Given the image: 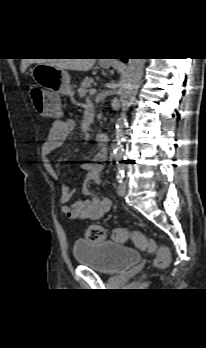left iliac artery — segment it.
<instances>
[{"label": "left iliac artery", "instance_id": "44dca946", "mask_svg": "<svg viewBox=\"0 0 206 348\" xmlns=\"http://www.w3.org/2000/svg\"><path fill=\"white\" fill-rule=\"evenodd\" d=\"M125 174H124V170L122 168H119L117 173H116V178L118 180L119 183L122 182L123 178H124Z\"/></svg>", "mask_w": 206, "mask_h": 348}]
</instances>
